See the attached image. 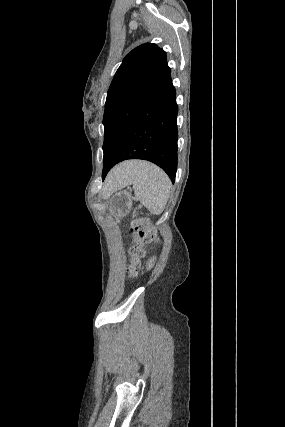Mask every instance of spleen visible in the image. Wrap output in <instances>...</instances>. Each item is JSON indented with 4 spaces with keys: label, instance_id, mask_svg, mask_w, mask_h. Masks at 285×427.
<instances>
[{
    "label": "spleen",
    "instance_id": "obj_1",
    "mask_svg": "<svg viewBox=\"0 0 285 427\" xmlns=\"http://www.w3.org/2000/svg\"><path fill=\"white\" fill-rule=\"evenodd\" d=\"M132 185L135 197L152 213L160 214L170 196L171 181L158 166L149 162L137 163L125 170L120 188Z\"/></svg>",
    "mask_w": 285,
    "mask_h": 427
}]
</instances>
